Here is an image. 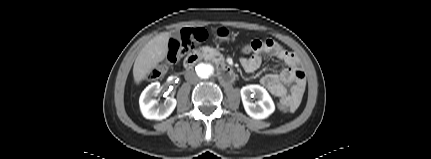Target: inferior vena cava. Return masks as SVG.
Instances as JSON below:
<instances>
[{
    "label": "inferior vena cava",
    "mask_w": 431,
    "mask_h": 159,
    "mask_svg": "<svg viewBox=\"0 0 431 159\" xmlns=\"http://www.w3.org/2000/svg\"><path fill=\"white\" fill-rule=\"evenodd\" d=\"M185 79L188 81V82H190V83H192V84H195V83H197L198 82V76L196 75V73L194 72V71H188V72H186V74H185Z\"/></svg>",
    "instance_id": "obj_1"
}]
</instances>
